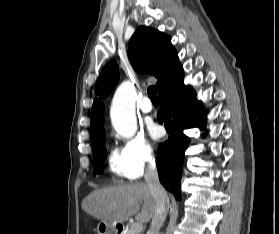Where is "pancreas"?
Segmentation results:
<instances>
[{"mask_svg":"<svg viewBox=\"0 0 279 234\" xmlns=\"http://www.w3.org/2000/svg\"><path fill=\"white\" fill-rule=\"evenodd\" d=\"M125 234H139L132 231V226L125 232Z\"/></svg>","mask_w":279,"mask_h":234,"instance_id":"1","label":"pancreas"}]
</instances>
